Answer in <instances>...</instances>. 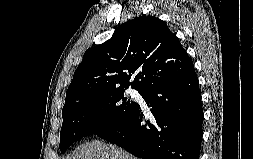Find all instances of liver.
Listing matches in <instances>:
<instances>
[{"instance_id":"obj_1","label":"liver","mask_w":253,"mask_h":159,"mask_svg":"<svg viewBox=\"0 0 253 159\" xmlns=\"http://www.w3.org/2000/svg\"><path fill=\"white\" fill-rule=\"evenodd\" d=\"M66 159H138L124 149L98 140L79 146Z\"/></svg>"}]
</instances>
